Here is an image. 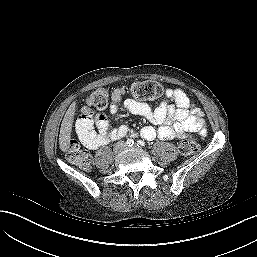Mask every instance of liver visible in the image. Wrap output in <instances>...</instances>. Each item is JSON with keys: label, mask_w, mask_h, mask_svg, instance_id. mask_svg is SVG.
I'll return each instance as SVG.
<instances>
[{"label": "liver", "mask_w": 257, "mask_h": 257, "mask_svg": "<svg viewBox=\"0 0 257 257\" xmlns=\"http://www.w3.org/2000/svg\"><path fill=\"white\" fill-rule=\"evenodd\" d=\"M75 108H76V102L74 101L66 111L61 124L60 135H59V145H60L59 147L63 152H66L70 145L72 124H73L74 115L76 111Z\"/></svg>", "instance_id": "liver-1"}]
</instances>
